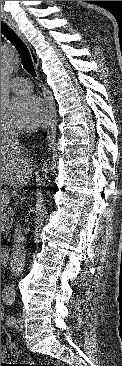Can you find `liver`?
<instances>
[{"label":"liver","mask_w":122,"mask_h":366,"mask_svg":"<svg viewBox=\"0 0 122 366\" xmlns=\"http://www.w3.org/2000/svg\"><path fill=\"white\" fill-rule=\"evenodd\" d=\"M32 162L22 149L8 147L1 135V185L23 186L32 176Z\"/></svg>","instance_id":"obj_1"}]
</instances>
